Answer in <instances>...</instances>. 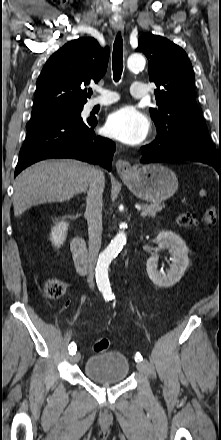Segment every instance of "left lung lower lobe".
<instances>
[{"mask_svg":"<svg viewBox=\"0 0 221 440\" xmlns=\"http://www.w3.org/2000/svg\"><path fill=\"white\" fill-rule=\"evenodd\" d=\"M142 163L196 161L208 164L221 175V151L192 135H170L141 147Z\"/></svg>","mask_w":221,"mask_h":440,"instance_id":"0a47b994","label":"left lung lower lobe"}]
</instances>
